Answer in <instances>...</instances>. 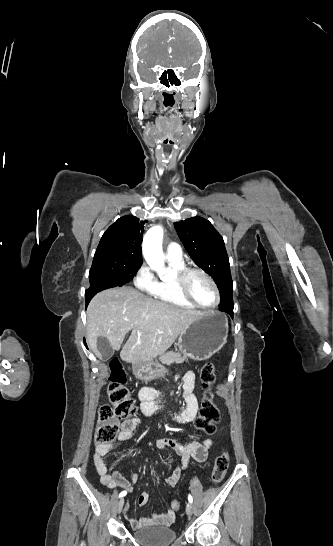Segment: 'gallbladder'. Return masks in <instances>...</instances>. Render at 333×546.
Returning a JSON list of instances; mask_svg holds the SVG:
<instances>
[{
  "mask_svg": "<svg viewBox=\"0 0 333 546\" xmlns=\"http://www.w3.org/2000/svg\"><path fill=\"white\" fill-rule=\"evenodd\" d=\"M97 348L98 351L101 353L102 360L108 361L111 359L114 355V350L111 347L109 341L105 337H99L97 340Z\"/></svg>",
  "mask_w": 333,
  "mask_h": 546,
  "instance_id": "1",
  "label": "gallbladder"
}]
</instances>
